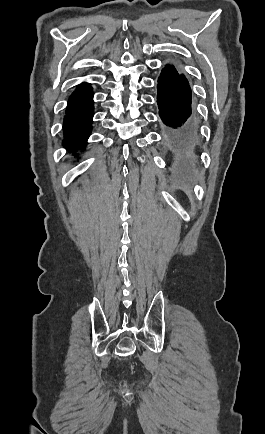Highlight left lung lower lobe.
<instances>
[{
	"label": "left lung lower lobe",
	"mask_w": 265,
	"mask_h": 434,
	"mask_svg": "<svg viewBox=\"0 0 265 434\" xmlns=\"http://www.w3.org/2000/svg\"><path fill=\"white\" fill-rule=\"evenodd\" d=\"M157 90L163 145L176 153H194L201 138L199 124L192 111L191 88L185 75L174 65H165L158 78Z\"/></svg>",
	"instance_id": "1"
}]
</instances>
